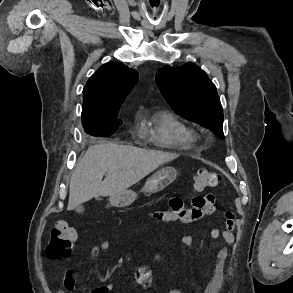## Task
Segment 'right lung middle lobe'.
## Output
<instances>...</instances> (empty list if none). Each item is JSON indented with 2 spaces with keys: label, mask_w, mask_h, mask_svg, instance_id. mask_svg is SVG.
<instances>
[{
  "label": "right lung middle lobe",
  "mask_w": 293,
  "mask_h": 293,
  "mask_svg": "<svg viewBox=\"0 0 293 293\" xmlns=\"http://www.w3.org/2000/svg\"><path fill=\"white\" fill-rule=\"evenodd\" d=\"M118 112L106 115L82 116V125L86 133L93 136H108L122 124L117 120Z\"/></svg>",
  "instance_id": "obj_1"
}]
</instances>
